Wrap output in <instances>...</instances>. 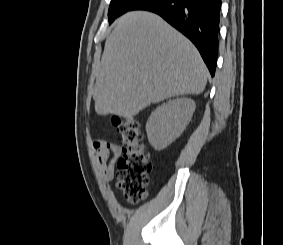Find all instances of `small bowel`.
<instances>
[{
    "instance_id": "1",
    "label": "small bowel",
    "mask_w": 283,
    "mask_h": 245,
    "mask_svg": "<svg viewBox=\"0 0 283 245\" xmlns=\"http://www.w3.org/2000/svg\"><path fill=\"white\" fill-rule=\"evenodd\" d=\"M99 168L106 181H110L115 175V162L122 152L121 146L106 140H95L93 143Z\"/></svg>"
}]
</instances>
